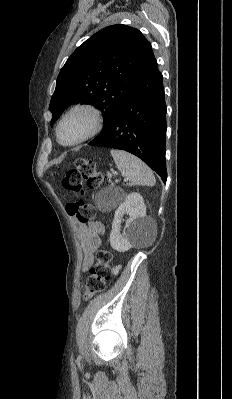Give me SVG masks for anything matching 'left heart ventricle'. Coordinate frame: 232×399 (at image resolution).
<instances>
[{
    "label": "left heart ventricle",
    "instance_id": "1",
    "mask_svg": "<svg viewBox=\"0 0 232 399\" xmlns=\"http://www.w3.org/2000/svg\"><path fill=\"white\" fill-rule=\"evenodd\" d=\"M92 128V117L84 110H77L69 115L61 126V137L71 143L85 136Z\"/></svg>",
    "mask_w": 232,
    "mask_h": 399
}]
</instances>
